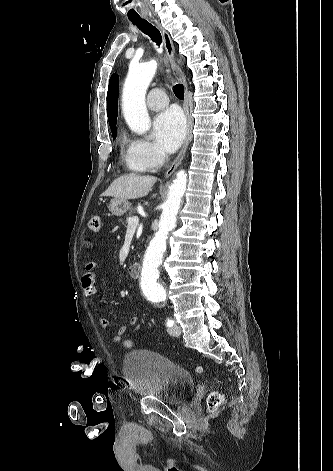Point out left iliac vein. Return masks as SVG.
<instances>
[{"label":"left iliac vein","instance_id":"left-iliac-vein-1","mask_svg":"<svg viewBox=\"0 0 333 471\" xmlns=\"http://www.w3.org/2000/svg\"><path fill=\"white\" fill-rule=\"evenodd\" d=\"M181 328L179 325L175 324L174 326L168 329V333L172 336H179L181 334Z\"/></svg>","mask_w":333,"mask_h":471}]
</instances>
